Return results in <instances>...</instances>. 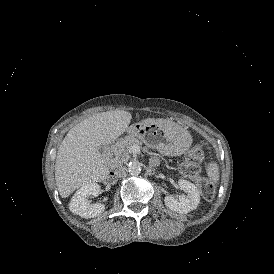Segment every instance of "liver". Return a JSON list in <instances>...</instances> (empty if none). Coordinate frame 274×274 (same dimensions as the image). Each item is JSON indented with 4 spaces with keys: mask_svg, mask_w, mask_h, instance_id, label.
Returning <instances> with one entry per match:
<instances>
[{
    "mask_svg": "<svg viewBox=\"0 0 274 274\" xmlns=\"http://www.w3.org/2000/svg\"><path fill=\"white\" fill-rule=\"evenodd\" d=\"M123 110L97 113L74 126L63 139L56 157L55 180L62 198L82 185L101 182L109 170L99 149L114 142L130 124Z\"/></svg>",
    "mask_w": 274,
    "mask_h": 274,
    "instance_id": "6515ba94",
    "label": "liver"
}]
</instances>
